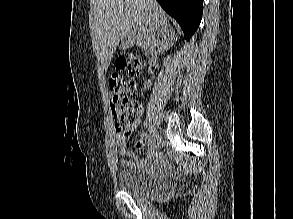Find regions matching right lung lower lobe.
<instances>
[{
	"instance_id": "right-lung-lower-lobe-1",
	"label": "right lung lower lobe",
	"mask_w": 293,
	"mask_h": 219,
	"mask_svg": "<svg viewBox=\"0 0 293 219\" xmlns=\"http://www.w3.org/2000/svg\"><path fill=\"white\" fill-rule=\"evenodd\" d=\"M181 26L187 40L197 30L203 11V0H157Z\"/></svg>"
}]
</instances>
